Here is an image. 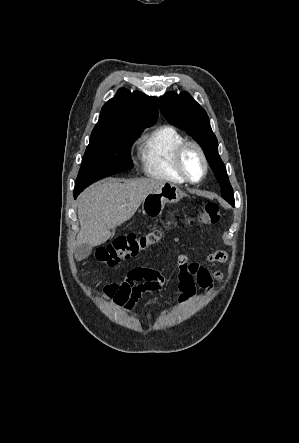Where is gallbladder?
Here are the masks:
<instances>
[{
	"label": "gallbladder",
	"instance_id": "bac80fb5",
	"mask_svg": "<svg viewBox=\"0 0 299 443\" xmlns=\"http://www.w3.org/2000/svg\"><path fill=\"white\" fill-rule=\"evenodd\" d=\"M92 247L87 244H80L76 247L75 257L78 260L84 259L90 255Z\"/></svg>",
	"mask_w": 299,
	"mask_h": 443
}]
</instances>
